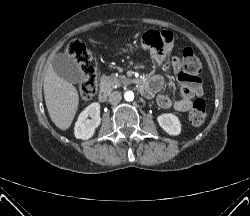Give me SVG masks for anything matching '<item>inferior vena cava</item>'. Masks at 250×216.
<instances>
[{
    "label": "inferior vena cava",
    "instance_id": "obj_1",
    "mask_svg": "<svg viewBox=\"0 0 250 216\" xmlns=\"http://www.w3.org/2000/svg\"><path fill=\"white\" fill-rule=\"evenodd\" d=\"M121 98H122L121 93L118 91H114L109 95V102L111 104H117L120 102Z\"/></svg>",
    "mask_w": 250,
    "mask_h": 216
}]
</instances>
